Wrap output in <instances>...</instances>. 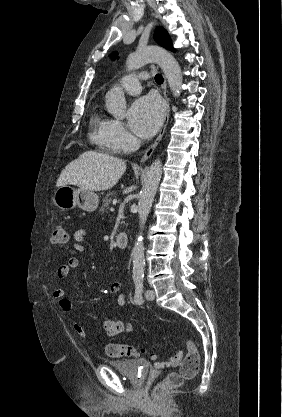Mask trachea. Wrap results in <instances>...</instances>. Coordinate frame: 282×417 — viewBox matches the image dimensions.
Returning a JSON list of instances; mask_svg holds the SVG:
<instances>
[{"label":"trachea","instance_id":"3493384b","mask_svg":"<svg viewBox=\"0 0 282 417\" xmlns=\"http://www.w3.org/2000/svg\"><path fill=\"white\" fill-rule=\"evenodd\" d=\"M155 82H156V83H158L159 85H160V84H163L164 79H163L162 75H160V74H156V75H155Z\"/></svg>","mask_w":282,"mask_h":417}]
</instances>
